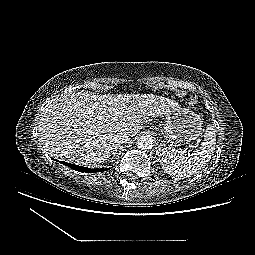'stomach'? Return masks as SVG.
Returning a JSON list of instances; mask_svg holds the SVG:
<instances>
[{"mask_svg":"<svg viewBox=\"0 0 255 255\" xmlns=\"http://www.w3.org/2000/svg\"><path fill=\"white\" fill-rule=\"evenodd\" d=\"M164 116L163 132L170 146L188 144L200 136L203 122L194 111L175 103Z\"/></svg>","mask_w":255,"mask_h":255,"instance_id":"obj_1","label":"stomach"}]
</instances>
